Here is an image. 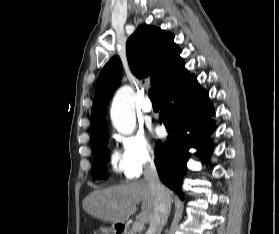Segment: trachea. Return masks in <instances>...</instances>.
Masks as SVG:
<instances>
[{"label":"trachea","mask_w":279,"mask_h":234,"mask_svg":"<svg viewBox=\"0 0 279 234\" xmlns=\"http://www.w3.org/2000/svg\"><path fill=\"white\" fill-rule=\"evenodd\" d=\"M149 98L152 102H158L157 91L155 88L149 90Z\"/></svg>","instance_id":"1"}]
</instances>
